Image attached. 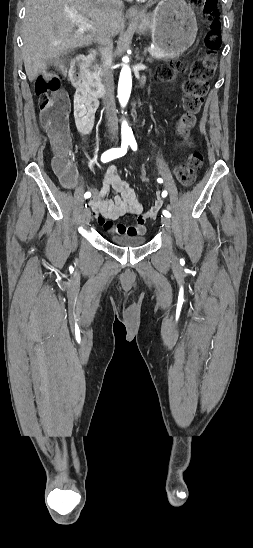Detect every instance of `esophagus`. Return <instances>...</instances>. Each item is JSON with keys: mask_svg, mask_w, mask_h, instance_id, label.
<instances>
[{"mask_svg": "<svg viewBox=\"0 0 253 548\" xmlns=\"http://www.w3.org/2000/svg\"><path fill=\"white\" fill-rule=\"evenodd\" d=\"M127 14L131 18H136V17H139L140 11L138 10L137 7L132 6L128 9Z\"/></svg>", "mask_w": 253, "mask_h": 548, "instance_id": "esophagus-1", "label": "esophagus"}]
</instances>
